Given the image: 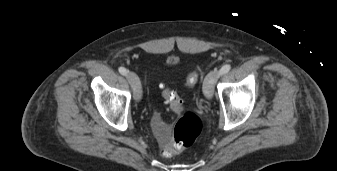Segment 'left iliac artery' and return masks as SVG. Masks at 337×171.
I'll return each mask as SVG.
<instances>
[{"instance_id": "1", "label": "left iliac artery", "mask_w": 337, "mask_h": 171, "mask_svg": "<svg viewBox=\"0 0 337 171\" xmlns=\"http://www.w3.org/2000/svg\"><path fill=\"white\" fill-rule=\"evenodd\" d=\"M231 69V66L229 64L224 65L221 69H220V75L228 73Z\"/></svg>"}]
</instances>
